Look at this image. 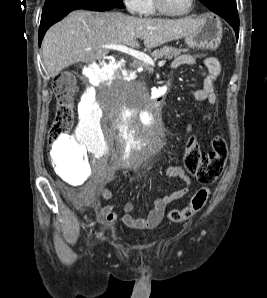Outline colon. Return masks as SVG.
<instances>
[{
    "mask_svg": "<svg viewBox=\"0 0 267 298\" xmlns=\"http://www.w3.org/2000/svg\"><path fill=\"white\" fill-rule=\"evenodd\" d=\"M57 99V110L49 133V144L56 149L64 142L74 124L73 96L77 88L74 73L64 71L59 73L53 83ZM228 156V143L224 136L218 135L212 141L209 152H202L194 136L190 135L184 147L183 161L187 173L195 178L201 187L192 196L187 206L173 209L169 212L172 222H182L196 215L205 206L209 187L222 173Z\"/></svg>",
    "mask_w": 267,
    "mask_h": 298,
    "instance_id": "1",
    "label": "colon"
}]
</instances>
